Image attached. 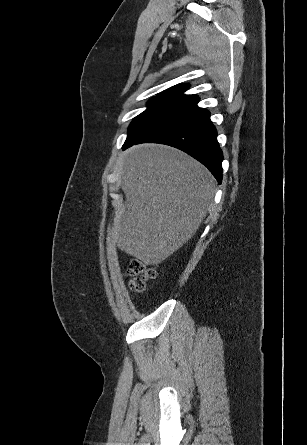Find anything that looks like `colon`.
I'll return each mask as SVG.
<instances>
[{
	"label": "colon",
	"mask_w": 307,
	"mask_h": 445,
	"mask_svg": "<svg viewBox=\"0 0 307 445\" xmlns=\"http://www.w3.org/2000/svg\"><path fill=\"white\" fill-rule=\"evenodd\" d=\"M127 273L131 276L130 287L136 292H143L146 288V281L156 276L155 268L147 265L141 259H133Z\"/></svg>",
	"instance_id": "1"
}]
</instances>
